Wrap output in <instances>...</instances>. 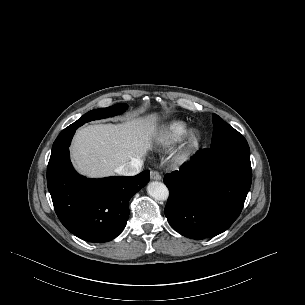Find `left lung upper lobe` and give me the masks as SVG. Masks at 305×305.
Here are the masks:
<instances>
[{
    "instance_id": "5c2ea615",
    "label": "left lung upper lobe",
    "mask_w": 305,
    "mask_h": 305,
    "mask_svg": "<svg viewBox=\"0 0 305 305\" xmlns=\"http://www.w3.org/2000/svg\"><path fill=\"white\" fill-rule=\"evenodd\" d=\"M213 126L214 130L210 149L239 148L249 150L246 139L216 114H213Z\"/></svg>"
}]
</instances>
